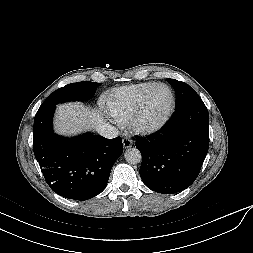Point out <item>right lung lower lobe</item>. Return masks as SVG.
Wrapping results in <instances>:
<instances>
[{
    "label": "right lung lower lobe",
    "instance_id": "obj_1",
    "mask_svg": "<svg viewBox=\"0 0 253 253\" xmlns=\"http://www.w3.org/2000/svg\"><path fill=\"white\" fill-rule=\"evenodd\" d=\"M55 107L41 105L35 115V157L55 193L68 199H90L105 189L112 166L122 154V139L91 133L71 139L57 136L52 129Z\"/></svg>",
    "mask_w": 253,
    "mask_h": 253
}]
</instances>
